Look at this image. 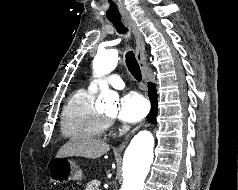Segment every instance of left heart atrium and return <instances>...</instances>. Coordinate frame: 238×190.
I'll use <instances>...</instances> for the list:
<instances>
[{
    "label": "left heart atrium",
    "mask_w": 238,
    "mask_h": 190,
    "mask_svg": "<svg viewBox=\"0 0 238 190\" xmlns=\"http://www.w3.org/2000/svg\"><path fill=\"white\" fill-rule=\"evenodd\" d=\"M148 110L146 99L136 92H130L121 98L118 117L124 122L135 123L143 119Z\"/></svg>",
    "instance_id": "1"
}]
</instances>
